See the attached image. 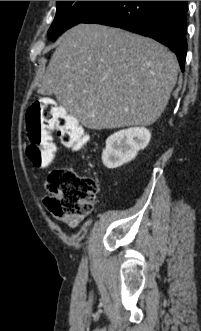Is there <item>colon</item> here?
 I'll return each mask as SVG.
<instances>
[{"mask_svg":"<svg viewBox=\"0 0 201 331\" xmlns=\"http://www.w3.org/2000/svg\"><path fill=\"white\" fill-rule=\"evenodd\" d=\"M26 127L29 139L26 154L37 167L49 166L54 160L52 131L75 151L83 150L88 141L77 120L50 98L39 99L29 107ZM47 189L50 195L44 199L46 208L57 219L76 226L91 212L98 182L93 176L61 168L49 174Z\"/></svg>","mask_w":201,"mask_h":331,"instance_id":"colon-1","label":"colon"}]
</instances>
